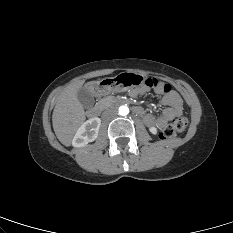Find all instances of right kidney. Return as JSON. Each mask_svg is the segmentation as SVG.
I'll use <instances>...</instances> for the list:
<instances>
[{"label": "right kidney", "mask_w": 233, "mask_h": 233, "mask_svg": "<svg viewBox=\"0 0 233 233\" xmlns=\"http://www.w3.org/2000/svg\"><path fill=\"white\" fill-rule=\"evenodd\" d=\"M100 125L101 119L97 117L91 118L84 122L77 130L72 140V145L74 147H83L89 142L94 141L98 136Z\"/></svg>", "instance_id": "1"}]
</instances>
